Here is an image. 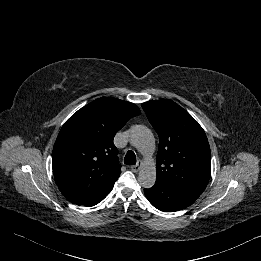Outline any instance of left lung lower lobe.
Returning a JSON list of instances; mask_svg holds the SVG:
<instances>
[{
    "instance_id": "0a47b994",
    "label": "left lung lower lobe",
    "mask_w": 261,
    "mask_h": 261,
    "mask_svg": "<svg viewBox=\"0 0 261 261\" xmlns=\"http://www.w3.org/2000/svg\"><path fill=\"white\" fill-rule=\"evenodd\" d=\"M144 193L155 208L164 212L182 210L200 196L193 191L160 183H155L150 189H144Z\"/></svg>"
}]
</instances>
